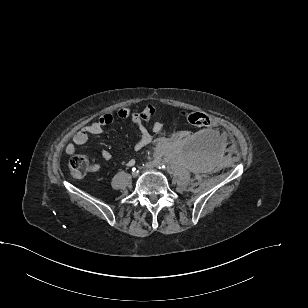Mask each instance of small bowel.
Segmentation results:
<instances>
[{
  "instance_id": "small-bowel-1",
  "label": "small bowel",
  "mask_w": 308,
  "mask_h": 308,
  "mask_svg": "<svg viewBox=\"0 0 308 308\" xmlns=\"http://www.w3.org/2000/svg\"><path fill=\"white\" fill-rule=\"evenodd\" d=\"M156 114V109L152 105L146 106L142 111L137 112L130 108H121L117 112V116L120 119L130 120L136 127L140 139L135 145L136 150H142L153 142V135L150 131L161 132L164 129V125L161 122L153 121L152 118ZM114 121L112 114L102 115L96 122H93L81 130H79L74 136L72 143L66 147V152L69 155L74 154L76 146L84 145L89 138V135L100 134L105 126L110 125ZM149 125V126H148ZM165 143V138L159 140V144ZM104 160H110L111 153L107 150H103L101 154ZM126 166H133L135 164L134 159H127L123 161Z\"/></svg>"
}]
</instances>
